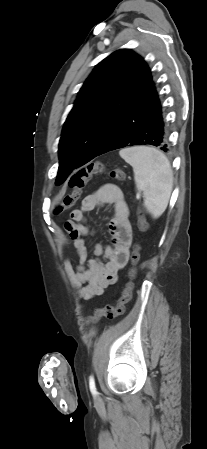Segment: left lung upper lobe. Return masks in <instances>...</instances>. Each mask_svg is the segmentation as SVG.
Here are the masks:
<instances>
[{"label": "left lung upper lobe", "mask_w": 207, "mask_h": 449, "mask_svg": "<svg viewBox=\"0 0 207 449\" xmlns=\"http://www.w3.org/2000/svg\"><path fill=\"white\" fill-rule=\"evenodd\" d=\"M152 82L146 62L129 49L113 52L95 67L64 124L55 184L95 158L111 131Z\"/></svg>", "instance_id": "left-lung-upper-lobe-1"}]
</instances>
